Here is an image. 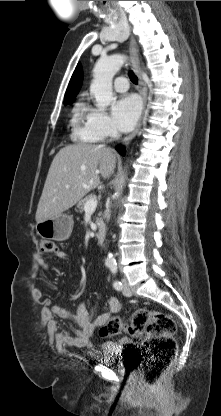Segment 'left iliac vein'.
Instances as JSON below:
<instances>
[{"mask_svg": "<svg viewBox=\"0 0 221 416\" xmlns=\"http://www.w3.org/2000/svg\"><path fill=\"white\" fill-rule=\"evenodd\" d=\"M122 283H123V289L122 292L125 296H132L133 292L131 290V288L129 287L128 281L126 278L122 279Z\"/></svg>", "mask_w": 221, "mask_h": 416, "instance_id": "1", "label": "left iliac vein"}]
</instances>
